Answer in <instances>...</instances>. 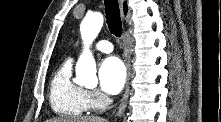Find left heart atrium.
<instances>
[{
	"mask_svg": "<svg viewBox=\"0 0 221 122\" xmlns=\"http://www.w3.org/2000/svg\"><path fill=\"white\" fill-rule=\"evenodd\" d=\"M98 76L101 90L106 94L115 95L125 84L126 68L118 57H107L100 64Z\"/></svg>",
	"mask_w": 221,
	"mask_h": 122,
	"instance_id": "obj_1",
	"label": "left heart atrium"
}]
</instances>
